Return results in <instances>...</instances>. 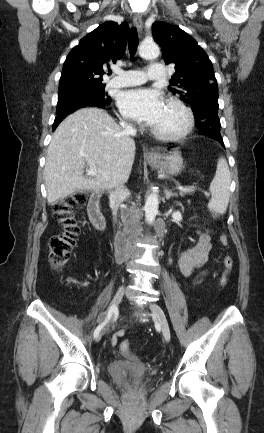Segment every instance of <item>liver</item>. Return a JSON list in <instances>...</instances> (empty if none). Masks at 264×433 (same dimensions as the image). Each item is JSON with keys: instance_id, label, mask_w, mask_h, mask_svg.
Returning a JSON list of instances; mask_svg holds the SVG:
<instances>
[{"instance_id": "1", "label": "liver", "mask_w": 264, "mask_h": 433, "mask_svg": "<svg viewBox=\"0 0 264 433\" xmlns=\"http://www.w3.org/2000/svg\"><path fill=\"white\" fill-rule=\"evenodd\" d=\"M135 149L134 140L102 109L84 108L67 116L47 151L44 176L48 204L77 191H99L127 181ZM86 163L96 168L95 176H84Z\"/></svg>"}]
</instances>
